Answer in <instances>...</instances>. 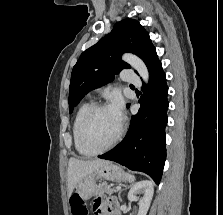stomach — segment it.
I'll return each mask as SVG.
<instances>
[{"instance_id": "1", "label": "stomach", "mask_w": 223, "mask_h": 215, "mask_svg": "<svg viewBox=\"0 0 223 215\" xmlns=\"http://www.w3.org/2000/svg\"><path fill=\"white\" fill-rule=\"evenodd\" d=\"M96 179H110L111 181L121 183V181H127V173L119 165L112 163V161L103 163L96 171L89 173L87 177L79 181L75 193H80V201L81 199L85 201V199H89L93 195L92 190L94 189Z\"/></svg>"}]
</instances>
